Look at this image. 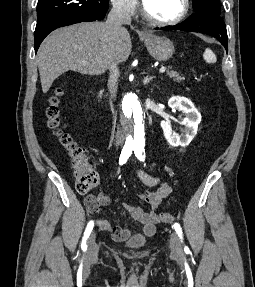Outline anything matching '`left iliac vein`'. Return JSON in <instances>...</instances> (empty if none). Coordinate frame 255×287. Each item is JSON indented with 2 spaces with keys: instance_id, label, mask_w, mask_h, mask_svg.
Instances as JSON below:
<instances>
[{
  "instance_id": "left-iliac-vein-1",
  "label": "left iliac vein",
  "mask_w": 255,
  "mask_h": 287,
  "mask_svg": "<svg viewBox=\"0 0 255 287\" xmlns=\"http://www.w3.org/2000/svg\"><path fill=\"white\" fill-rule=\"evenodd\" d=\"M170 249H171V253L176 257L180 256L182 253V247H181L178 235L175 232L171 233Z\"/></svg>"
}]
</instances>
